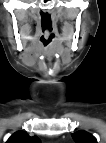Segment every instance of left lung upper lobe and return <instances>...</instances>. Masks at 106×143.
Returning <instances> with one entry per match:
<instances>
[{
	"label": "left lung upper lobe",
	"instance_id": "obj_1",
	"mask_svg": "<svg viewBox=\"0 0 106 143\" xmlns=\"http://www.w3.org/2000/svg\"><path fill=\"white\" fill-rule=\"evenodd\" d=\"M72 137L76 141V143H97L94 136L83 130L73 133Z\"/></svg>",
	"mask_w": 106,
	"mask_h": 143
}]
</instances>
